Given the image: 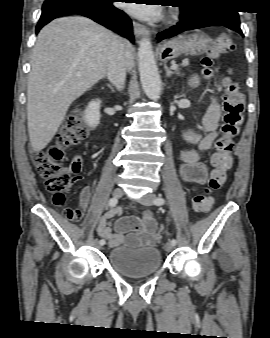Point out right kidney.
<instances>
[{"mask_svg":"<svg viewBox=\"0 0 270 338\" xmlns=\"http://www.w3.org/2000/svg\"><path fill=\"white\" fill-rule=\"evenodd\" d=\"M100 100L91 101L85 111V121L91 127H96L100 121Z\"/></svg>","mask_w":270,"mask_h":338,"instance_id":"obj_1","label":"right kidney"}]
</instances>
